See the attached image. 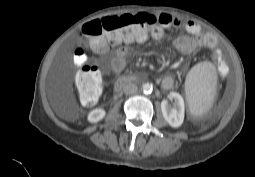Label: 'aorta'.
<instances>
[{
  "label": "aorta",
  "instance_id": "1",
  "mask_svg": "<svg viewBox=\"0 0 255 177\" xmlns=\"http://www.w3.org/2000/svg\"><path fill=\"white\" fill-rule=\"evenodd\" d=\"M141 90L145 94H150L153 90V87L150 83H144L141 87Z\"/></svg>",
  "mask_w": 255,
  "mask_h": 177
}]
</instances>
